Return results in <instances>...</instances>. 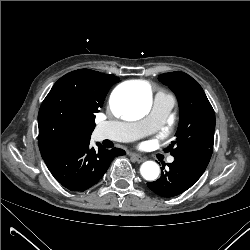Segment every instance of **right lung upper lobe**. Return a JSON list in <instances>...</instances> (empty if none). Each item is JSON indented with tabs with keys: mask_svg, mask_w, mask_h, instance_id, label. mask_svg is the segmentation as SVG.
<instances>
[{
	"mask_svg": "<svg viewBox=\"0 0 250 250\" xmlns=\"http://www.w3.org/2000/svg\"><path fill=\"white\" fill-rule=\"evenodd\" d=\"M119 82L114 75L90 69L61 77L44 99L38 114L40 152L75 140L90 139L110 87Z\"/></svg>",
	"mask_w": 250,
	"mask_h": 250,
	"instance_id": "right-lung-upper-lobe-1",
	"label": "right lung upper lobe"
}]
</instances>
